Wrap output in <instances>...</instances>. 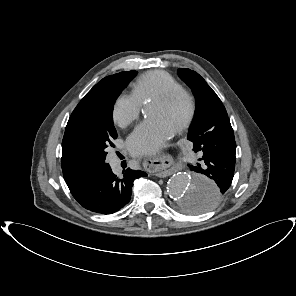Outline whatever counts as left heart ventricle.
I'll use <instances>...</instances> for the list:
<instances>
[{"label": "left heart ventricle", "instance_id": "left-heart-ventricle-1", "mask_svg": "<svg viewBox=\"0 0 296 296\" xmlns=\"http://www.w3.org/2000/svg\"><path fill=\"white\" fill-rule=\"evenodd\" d=\"M186 113V102L179 99L170 104L150 103L147 114L150 118H159L175 129Z\"/></svg>", "mask_w": 296, "mask_h": 296}]
</instances>
